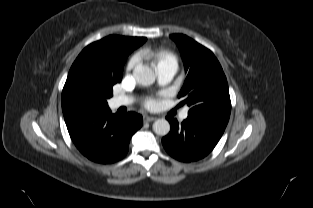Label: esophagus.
<instances>
[{
  "label": "esophagus",
  "instance_id": "34e87169",
  "mask_svg": "<svg viewBox=\"0 0 313 208\" xmlns=\"http://www.w3.org/2000/svg\"><path fill=\"white\" fill-rule=\"evenodd\" d=\"M157 118L153 116H144V121L145 122H152L155 121Z\"/></svg>",
  "mask_w": 313,
  "mask_h": 208
}]
</instances>
